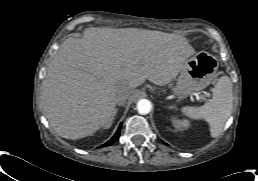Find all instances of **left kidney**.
<instances>
[{
	"label": "left kidney",
	"mask_w": 258,
	"mask_h": 181,
	"mask_svg": "<svg viewBox=\"0 0 258 181\" xmlns=\"http://www.w3.org/2000/svg\"><path fill=\"white\" fill-rule=\"evenodd\" d=\"M172 125L176 128V130H184L190 126V122L186 119H176L174 117L171 118Z\"/></svg>",
	"instance_id": "left-kidney-1"
}]
</instances>
